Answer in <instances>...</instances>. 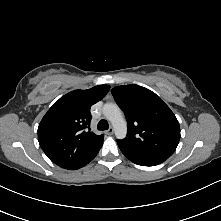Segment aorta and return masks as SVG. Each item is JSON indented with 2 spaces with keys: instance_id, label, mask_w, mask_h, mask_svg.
Masks as SVG:
<instances>
[{
  "instance_id": "1",
  "label": "aorta",
  "mask_w": 221,
  "mask_h": 221,
  "mask_svg": "<svg viewBox=\"0 0 221 221\" xmlns=\"http://www.w3.org/2000/svg\"><path fill=\"white\" fill-rule=\"evenodd\" d=\"M103 115L111 122L116 137L118 139L125 138L127 134V123L118 105L115 103L104 104Z\"/></svg>"
}]
</instances>
